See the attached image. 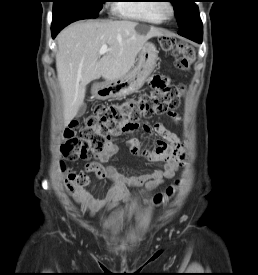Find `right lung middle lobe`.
Listing matches in <instances>:
<instances>
[{
	"label": "right lung middle lobe",
	"instance_id": "obj_1",
	"mask_svg": "<svg viewBox=\"0 0 258 275\" xmlns=\"http://www.w3.org/2000/svg\"><path fill=\"white\" fill-rule=\"evenodd\" d=\"M106 0H54L53 18L78 16L96 18Z\"/></svg>",
	"mask_w": 258,
	"mask_h": 275
}]
</instances>
